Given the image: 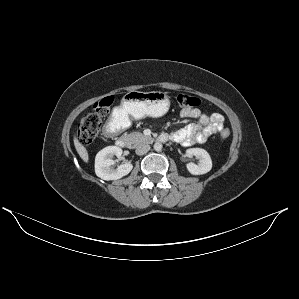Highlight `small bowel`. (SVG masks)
<instances>
[{"label": "small bowel", "mask_w": 299, "mask_h": 299, "mask_svg": "<svg viewBox=\"0 0 299 299\" xmlns=\"http://www.w3.org/2000/svg\"><path fill=\"white\" fill-rule=\"evenodd\" d=\"M180 116L197 120V123H190L171 133V140L183 146L203 143L224 129V117L218 113L209 115L196 108H187L180 112ZM114 119L118 121L117 117Z\"/></svg>", "instance_id": "c3829d8e"}]
</instances>
